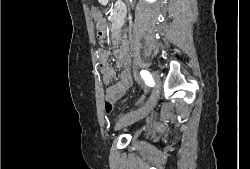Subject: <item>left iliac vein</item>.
Listing matches in <instances>:
<instances>
[{"label": "left iliac vein", "mask_w": 250, "mask_h": 169, "mask_svg": "<svg viewBox=\"0 0 250 169\" xmlns=\"http://www.w3.org/2000/svg\"><path fill=\"white\" fill-rule=\"evenodd\" d=\"M152 77H153L155 86H154V90H153L149 100L147 101V103L143 107L139 108L138 110H136L134 112H130V113L122 115L116 122L117 129L123 128L125 126H128V125L136 122V121L141 120L156 105L157 100H158L160 93H161V79H160L159 74L155 71H152Z\"/></svg>", "instance_id": "1"}]
</instances>
